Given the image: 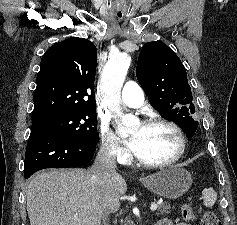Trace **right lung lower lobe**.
Listing matches in <instances>:
<instances>
[{
    "label": "right lung lower lobe",
    "instance_id": "right-lung-lower-lobe-1",
    "mask_svg": "<svg viewBox=\"0 0 237 225\" xmlns=\"http://www.w3.org/2000/svg\"><path fill=\"white\" fill-rule=\"evenodd\" d=\"M96 144L42 130H32L26 148L24 177L45 168L82 167L93 158Z\"/></svg>",
    "mask_w": 237,
    "mask_h": 225
}]
</instances>
